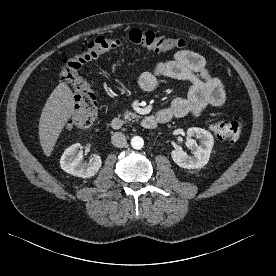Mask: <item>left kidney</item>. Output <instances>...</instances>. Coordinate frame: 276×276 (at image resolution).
I'll list each match as a JSON object with an SVG mask.
<instances>
[{
    "mask_svg": "<svg viewBox=\"0 0 276 276\" xmlns=\"http://www.w3.org/2000/svg\"><path fill=\"white\" fill-rule=\"evenodd\" d=\"M193 138L199 139L200 144L198 145ZM213 145L214 138L210 132L202 128L191 127L187 130L186 146L193 155L189 156L185 151L175 149L171 152V157L182 168H202L209 161Z\"/></svg>",
    "mask_w": 276,
    "mask_h": 276,
    "instance_id": "obj_1",
    "label": "left kidney"
}]
</instances>
